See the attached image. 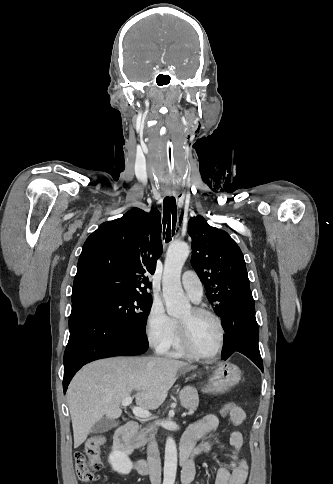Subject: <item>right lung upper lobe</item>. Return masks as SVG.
Wrapping results in <instances>:
<instances>
[{
	"mask_svg": "<svg viewBox=\"0 0 333 484\" xmlns=\"http://www.w3.org/2000/svg\"><path fill=\"white\" fill-rule=\"evenodd\" d=\"M162 253L161 215L133 208L102 223L85 241L78 260L71 300L92 292L149 295L148 276Z\"/></svg>",
	"mask_w": 333,
	"mask_h": 484,
	"instance_id": "right-lung-upper-lobe-1",
	"label": "right lung upper lobe"
}]
</instances>
